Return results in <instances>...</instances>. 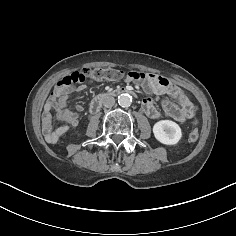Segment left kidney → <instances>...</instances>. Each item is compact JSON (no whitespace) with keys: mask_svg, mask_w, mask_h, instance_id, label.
<instances>
[{"mask_svg":"<svg viewBox=\"0 0 236 236\" xmlns=\"http://www.w3.org/2000/svg\"><path fill=\"white\" fill-rule=\"evenodd\" d=\"M155 138L165 145H175L182 138V131L179 125L170 120H161L153 126Z\"/></svg>","mask_w":236,"mask_h":236,"instance_id":"1","label":"left kidney"}]
</instances>
